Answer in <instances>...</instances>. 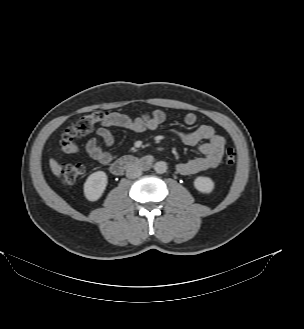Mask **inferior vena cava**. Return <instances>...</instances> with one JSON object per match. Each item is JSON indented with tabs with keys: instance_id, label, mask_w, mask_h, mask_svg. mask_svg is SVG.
Returning a JSON list of instances; mask_svg holds the SVG:
<instances>
[{
	"instance_id": "obj_1",
	"label": "inferior vena cava",
	"mask_w": 304,
	"mask_h": 329,
	"mask_svg": "<svg viewBox=\"0 0 304 329\" xmlns=\"http://www.w3.org/2000/svg\"><path fill=\"white\" fill-rule=\"evenodd\" d=\"M142 169L137 165H132L126 170V177L129 179H135L141 176Z\"/></svg>"
}]
</instances>
